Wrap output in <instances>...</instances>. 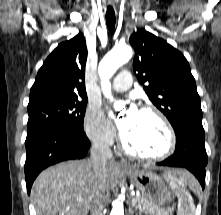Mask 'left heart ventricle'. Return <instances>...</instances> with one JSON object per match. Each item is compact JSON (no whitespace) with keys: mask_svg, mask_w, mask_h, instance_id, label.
Here are the masks:
<instances>
[{"mask_svg":"<svg viewBox=\"0 0 221 215\" xmlns=\"http://www.w3.org/2000/svg\"><path fill=\"white\" fill-rule=\"evenodd\" d=\"M132 151L156 155L165 150L167 134L161 121L152 113L138 111L130 128L122 134Z\"/></svg>","mask_w":221,"mask_h":215,"instance_id":"b2bd125f","label":"left heart ventricle"}]
</instances>
